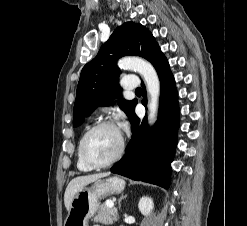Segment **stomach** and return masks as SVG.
Wrapping results in <instances>:
<instances>
[{
    "label": "stomach",
    "instance_id": "1",
    "mask_svg": "<svg viewBox=\"0 0 247 226\" xmlns=\"http://www.w3.org/2000/svg\"><path fill=\"white\" fill-rule=\"evenodd\" d=\"M125 181L119 177L96 180L90 187H82L73 197L64 226H88V220L96 213L99 199L121 193Z\"/></svg>",
    "mask_w": 247,
    "mask_h": 226
}]
</instances>
